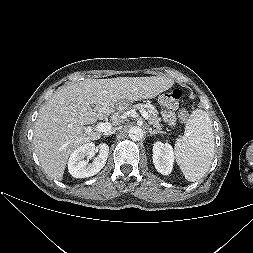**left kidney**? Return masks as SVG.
Masks as SVG:
<instances>
[{"instance_id": "5707ae66", "label": "left kidney", "mask_w": 253, "mask_h": 253, "mask_svg": "<svg viewBox=\"0 0 253 253\" xmlns=\"http://www.w3.org/2000/svg\"><path fill=\"white\" fill-rule=\"evenodd\" d=\"M153 163L159 173L170 174L174 163L172 146L168 143L156 142L153 146Z\"/></svg>"}]
</instances>
